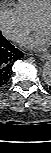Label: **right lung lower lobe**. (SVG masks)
Listing matches in <instances>:
<instances>
[{
	"mask_svg": "<svg viewBox=\"0 0 51 153\" xmlns=\"http://www.w3.org/2000/svg\"><path fill=\"white\" fill-rule=\"evenodd\" d=\"M22 57L23 53L10 44L0 33V87L8 82L14 61Z\"/></svg>",
	"mask_w": 51,
	"mask_h": 153,
	"instance_id": "obj_1",
	"label": "right lung lower lobe"
}]
</instances>
